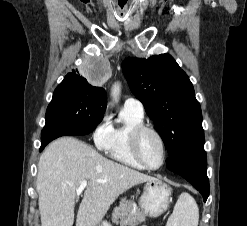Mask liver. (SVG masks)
<instances>
[{
	"label": "liver",
	"mask_w": 247,
	"mask_h": 226,
	"mask_svg": "<svg viewBox=\"0 0 247 226\" xmlns=\"http://www.w3.org/2000/svg\"><path fill=\"white\" fill-rule=\"evenodd\" d=\"M154 178L109 160L72 137L50 143L38 163L41 226H72L77 189L88 181L76 226H96L120 194ZM104 180L105 182H96Z\"/></svg>",
	"instance_id": "obj_1"
}]
</instances>
